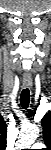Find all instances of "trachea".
<instances>
[{
  "instance_id": "trachea-1",
  "label": "trachea",
  "mask_w": 51,
  "mask_h": 150,
  "mask_svg": "<svg viewBox=\"0 0 51 150\" xmlns=\"http://www.w3.org/2000/svg\"><path fill=\"white\" fill-rule=\"evenodd\" d=\"M30 101V91L28 88L22 90L20 95V104L23 109H27Z\"/></svg>"
}]
</instances>
